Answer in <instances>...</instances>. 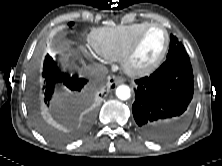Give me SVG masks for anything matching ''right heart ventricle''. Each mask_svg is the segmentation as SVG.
Instances as JSON below:
<instances>
[{
    "label": "right heart ventricle",
    "instance_id": "e07e8e85",
    "mask_svg": "<svg viewBox=\"0 0 222 166\" xmlns=\"http://www.w3.org/2000/svg\"><path fill=\"white\" fill-rule=\"evenodd\" d=\"M148 22L94 29L89 37L94 51L107 60H120L136 34Z\"/></svg>",
    "mask_w": 222,
    "mask_h": 166
}]
</instances>
